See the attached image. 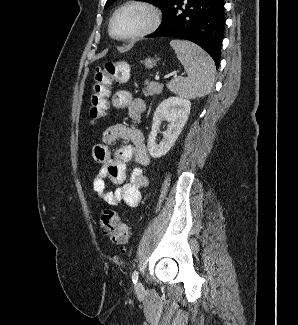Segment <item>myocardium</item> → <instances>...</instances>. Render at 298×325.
Wrapping results in <instances>:
<instances>
[{
  "label": "myocardium",
  "instance_id": "obj_1",
  "mask_svg": "<svg viewBox=\"0 0 298 325\" xmlns=\"http://www.w3.org/2000/svg\"><path fill=\"white\" fill-rule=\"evenodd\" d=\"M127 11H136V12L141 13L145 19V22H144L143 26L141 27V29L136 34H134L132 37L120 38L114 34V23H115L116 18L121 13L127 12ZM157 25H158V16H157L155 10L151 6L143 4V3H128V4L121 6L113 14L111 21H110V25H109V34L114 40H116L118 42L130 44V43H134V42L138 41L142 37L151 33L157 27Z\"/></svg>",
  "mask_w": 298,
  "mask_h": 325
}]
</instances>
